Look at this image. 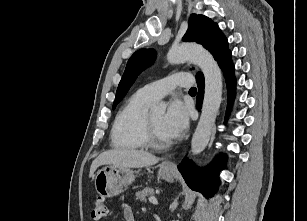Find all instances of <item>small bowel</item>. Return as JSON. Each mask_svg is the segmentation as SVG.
<instances>
[{
	"label": "small bowel",
	"instance_id": "obj_1",
	"mask_svg": "<svg viewBox=\"0 0 307 221\" xmlns=\"http://www.w3.org/2000/svg\"><path fill=\"white\" fill-rule=\"evenodd\" d=\"M122 209L125 221H134V215L131 207L127 204H123Z\"/></svg>",
	"mask_w": 307,
	"mask_h": 221
}]
</instances>
